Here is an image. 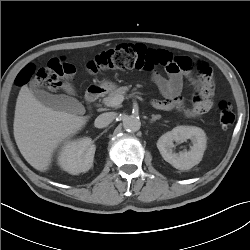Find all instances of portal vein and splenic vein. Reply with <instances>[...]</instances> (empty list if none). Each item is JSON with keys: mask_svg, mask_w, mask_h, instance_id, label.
Masks as SVG:
<instances>
[{"mask_svg": "<svg viewBox=\"0 0 250 250\" xmlns=\"http://www.w3.org/2000/svg\"><path fill=\"white\" fill-rule=\"evenodd\" d=\"M124 100V96L122 95H118V96H115L109 103V106L111 107H115V106H118L120 105Z\"/></svg>", "mask_w": 250, "mask_h": 250, "instance_id": "portal-vein-and-splenic-vein-1", "label": "portal vein and splenic vein"}]
</instances>
